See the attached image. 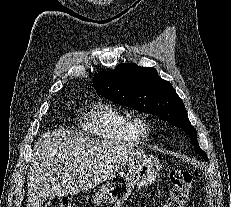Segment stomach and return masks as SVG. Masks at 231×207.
<instances>
[{"label": "stomach", "instance_id": "0dacf381", "mask_svg": "<svg viewBox=\"0 0 231 207\" xmlns=\"http://www.w3.org/2000/svg\"><path fill=\"white\" fill-rule=\"evenodd\" d=\"M159 160L148 154H141L129 160L127 172H117L108 178L95 194V205L108 204L119 207L129 198L135 188L147 187L155 182L161 171Z\"/></svg>", "mask_w": 231, "mask_h": 207}]
</instances>
